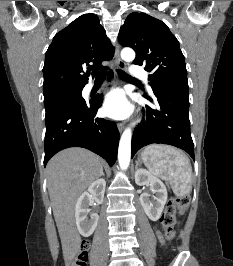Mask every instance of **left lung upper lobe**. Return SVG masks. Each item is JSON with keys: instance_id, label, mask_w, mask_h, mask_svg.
Returning a JSON list of instances; mask_svg holds the SVG:
<instances>
[{"instance_id": "obj_1", "label": "left lung upper lobe", "mask_w": 233, "mask_h": 266, "mask_svg": "<svg viewBox=\"0 0 233 266\" xmlns=\"http://www.w3.org/2000/svg\"><path fill=\"white\" fill-rule=\"evenodd\" d=\"M118 40L122 46L135 50L134 64L144 65L150 72L152 88L171 81L188 82L179 42L164 22L133 12L120 28Z\"/></svg>"}]
</instances>
